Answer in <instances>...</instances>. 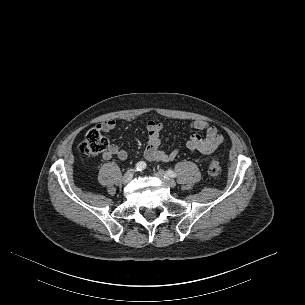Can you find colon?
<instances>
[{
	"mask_svg": "<svg viewBox=\"0 0 305 305\" xmlns=\"http://www.w3.org/2000/svg\"><path fill=\"white\" fill-rule=\"evenodd\" d=\"M107 148L108 142L101 131L98 129L89 130L79 146V150L84 156H91L105 152ZM220 171L221 167L219 161L217 159H213L209 164V175L212 178H217L220 174Z\"/></svg>",
	"mask_w": 305,
	"mask_h": 305,
	"instance_id": "colon-1",
	"label": "colon"
}]
</instances>
